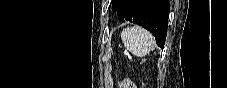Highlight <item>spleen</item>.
<instances>
[{
	"label": "spleen",
	"instance_id": "obj_1",
	"mask_svg": "<svg viewBox=\"0 0 227 88\" xmlns=\"http://www.w3.org/2000/svg\"><path fill=\"white\" fill-rule=\"evenodd\" d=\"M121 39L126 49L137 57H144L155 45L152 34L140 26L124 28Z\"/></svg>",
	"mask_w": 227,
	"mask_h": 88
}]
</instances>
